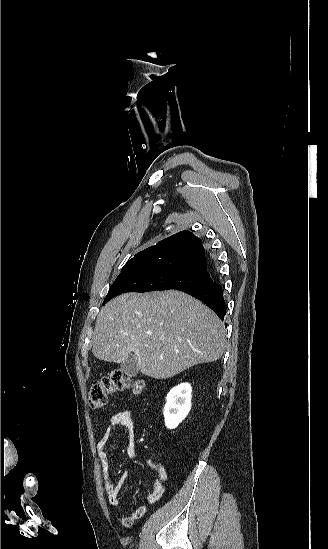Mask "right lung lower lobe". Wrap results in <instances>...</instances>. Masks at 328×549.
<instances>
[{"mask_svg": "<svg viewBox=\"0 0 328 549\" xmlns=\"http://www.w3.org/2000/svg\"><path fill=\"white\" fill-rule=\"evenodd\" d=\"M198 299L211 308L220 319L226 315V305L224 302L221 286L210 280L208 283L182 290Z\"/></svg>", "mask_w": 328, "mask_h": 549, "instance_id": "1", "label": "right lung lower lobe"}]
</instances>
